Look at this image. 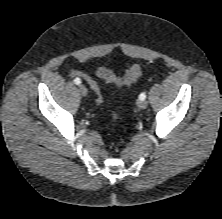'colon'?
I'll return each instance as SVG.
<instances>
[{
  "label": "colon",
  "mask_w": 222,
  "mask_h": 219,
  "mask_svg": "<svg viewBox=\"0 0 222 219\" xmlns=\"http://www.w3.org/2000/svg\"><path fill=\"white\" fill-rule=\"evenodd\" d=\"M141 72L142 68L140 64L137 63L132 64L123 76L116 75L112 70L106 67H99L96 70V74L100 79L108 83L114 84L118 87H125L133 84L139 78ZM90 87L95 91L97 95V102L102 103L103 98L101 96L98 85L91 83ZM117 118L118 115L114 114V119L116 120Z\"/></svg>",
  "instance_id": "1"
}]
</instances>
